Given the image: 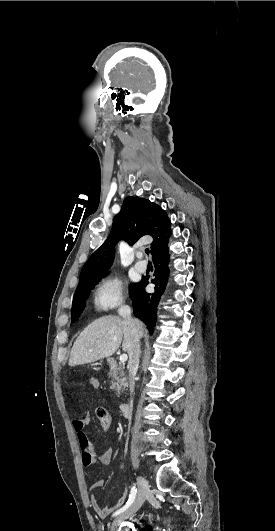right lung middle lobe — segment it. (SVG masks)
Segmentation results:
<instances>
[{
  "instance_id": "dd1d6c3e",
  "label": "right lung middle lobe",
  "mask_w": 275,
  "mask_h": 531,
  "mask_svg": "<svg viewBox=\"0 0 275 531\" xmlns=\"http://www.w3.org/2000/svg\"><path fill=\"white\" fill-rule=\"evenodd\" d=\"M106 275L107 274L92 278L76 290L72 303V323L80 317L81 312L85 307V301L88 298L90 289L94 288V286L101 280V278L105 277Z\"/></svg>"
}]
</instances>
